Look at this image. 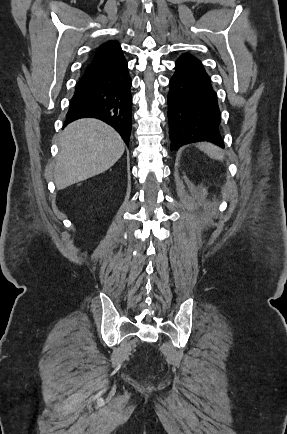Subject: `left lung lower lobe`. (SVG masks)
<instances>
[{
  "label": "left lung lower lobe",
  "mask_w": 287,
  "mask_h": 434,
  "mask_svg": "<svg viewBox=\"0 0 287 434\" xmlns=\"http://www.w3.org/2000/svg\"><path fill=\"white\" fill-rule=\"evenodd\" d=\"M175 69L168 94L171 149L200 141L223 147L217 95L202 63L183 54Z\"/></svg>",
  "instance_id": "left-lung-lower-lobe-1"
}]
</instances>
